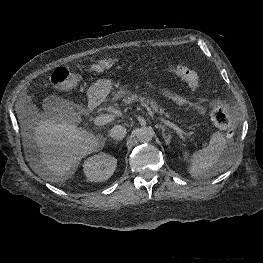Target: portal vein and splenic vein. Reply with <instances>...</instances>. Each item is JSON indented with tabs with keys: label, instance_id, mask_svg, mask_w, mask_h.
Returning a JSON list of instances; mask_svg holds the SVG:
<instances>
[{
	"label": "portal vein and splenic vein",
	"instance_id": "portal-vein-and-splenic-vein-1",
	"mask_svg": "<svg viewBox=\"0 0 263 263\" xmlns=\"http://www.w3.org/2000/svg\"><path fill=\"white\" fill-rule=\"evenodd\" d=\"M115 115L113 114H104V115H99L97 117H95L93 119L94 124L96 126H101V125H105L107 123H110L111 121L114 120ZM159 120L164 123L165 125L171 127L172 129H174L178 134H182V135H188L186 132H184L182 129H180L177 125H175L174 123L170 122L169 120H165L163 118H159Z\"/></svg>",
	"mask_w": 263,
	"mask_h": 263
}]
</instances>
